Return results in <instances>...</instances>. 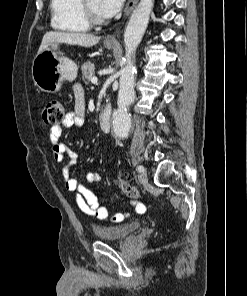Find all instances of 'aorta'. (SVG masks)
<instances>
[{"label": "aorta", "mask_w": 247, "mask_h": 296, "mask_svg": "<svg viewBox=\"0 0 247 296\" xmlns=\"http://www.w3.org/2000/svg\"><path fill=\"white\" fill-rule=\"evenodd\" d=\"M153 5L154 0H140L132 12L124 32L125 66L120 71L117 109L112 116L113 131L118 137L127 136L130 131L131 116L128 107L135 99L136 67L133 59L147 29Z\"/></svg>", "instance_id": "762f6f07"}]
</instances>
